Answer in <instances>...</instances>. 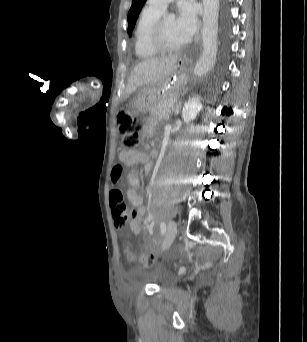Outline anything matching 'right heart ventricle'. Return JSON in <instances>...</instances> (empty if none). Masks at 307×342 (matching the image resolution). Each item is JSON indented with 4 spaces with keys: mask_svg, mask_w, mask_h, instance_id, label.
<instances>
[{
    "mask_svg": "<svg viewBox=\"0 0 307 342\" xmlns=\"http://www.w3.org/2000/svg\"><path fill=\"white\" fill-rule=\"evenodd\" d=\"M160 16L161 14L148 7L142 8L138 14L133 33V48L135 56L139 60H151L159 55L149 45V32L153 22Z\"/></svg>",
    "mask_w": 307,
    "mask_h": 342,
    "instance_id": "obj_1",
    "label": "right heart ventricle"
}]
</instances>
